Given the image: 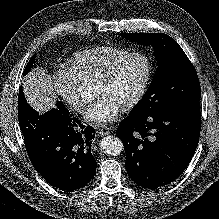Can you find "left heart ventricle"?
Segmentation results:
<instances>
[{"label": "left heart ventricle", "mask_w": 219, "mask_h": 219, "mask_svg": "<svg viewBox=\"0 0 219 219\" xmlns=\"http://www.w3.org/2000/svg\"><path fill=\"white\" fill-rule=\"evenodd\" d=\"M145 70L146 65L142 58L132 57L127 59L109 81H97L96 95L106 96L120 107L124 106L138 91Z\"/></svg>", "instance_id": "left-heart-ventricle-1"}]
</instances>
